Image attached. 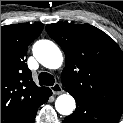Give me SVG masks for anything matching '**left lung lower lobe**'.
Here are the masks:
<instances>
[{
  "instance_id": "1",
  "label": "left lung lower lobe",
  "mask_w": 123,
  "mask_h": 123,
  "mask_svg": "<svg viewBox=\"0 0 123 123\" xmlns=\"http://www.w3.org/2000/svg\"><path fill=\"white\" fill-rule=\"evenodd\" d=\"M76 111L63 120V123H118L122 111L104 104L75 98Z\"/></svg>"
}]
</instances>
